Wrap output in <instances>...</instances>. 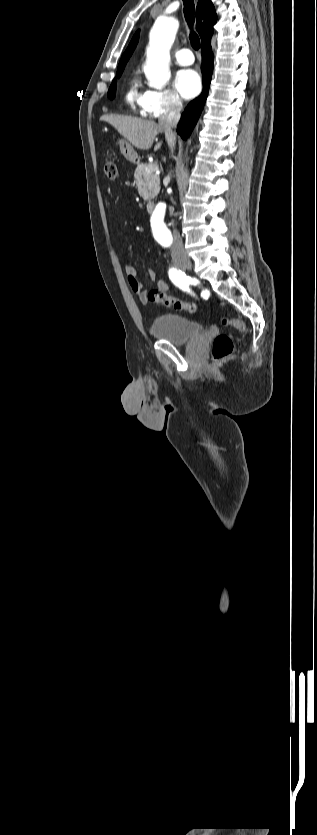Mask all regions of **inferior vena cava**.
Instances as JSON below:
<instances>
[{
  "label": "inferior vena cava",
  "instance_id": "inferior-vena-cava-1",
  "mask_svg": "<svg viewBox=\"0 0 317 835\" xmlns=\"http://www.w3.org/2000/svg\"><path fill=\"white\" fill-rule=\"evenodd\" d=\"M182 107L183 105L179 100H174L169 105L166 112L162 114L159 118V125L165 132V138L171 149V152H173V148L176 144V136L173 133L172 128L176 127L180 120V112L182 110ZM171 256L173 260H176L180 257H185L183 242L179 232L176 229L173 230V244L171 246Z\"/></svg>",
  "mask_w": 317,
  "mask_h": 835
}]
</instances>
